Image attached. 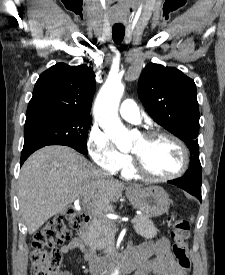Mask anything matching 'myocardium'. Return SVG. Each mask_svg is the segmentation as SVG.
<instances>
[{
	"instance_id": "1",
	"label": "myocardium",
	"mask_w": 225,
	"mask_h": 275,
	"mask_svg": "<svg viewBox=\"0 0 225 275\" xmlns=\"http://www.w3.org/2000/svg\"><path fill=\"white\" fill-rule=\"evenodd\" d=\"M144 139L147 141H153L155 139H159V138H165V139H169L171 141H173L180 149L181 154H182V164L180 166V168L168 175H155L150 173L144 166L142 158L135 154L132 153V168L134 170V172L136 173V175L145 178L147 180L150 181H169V180H173L181 175H183L189 166V153H188V149L185 145V143L178 138L177 136L170 134V133H166V132H162V131H151V132H147L143 135Z\"/></svg>"
}]
</instances>
